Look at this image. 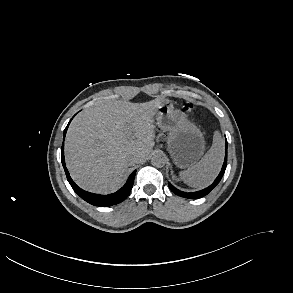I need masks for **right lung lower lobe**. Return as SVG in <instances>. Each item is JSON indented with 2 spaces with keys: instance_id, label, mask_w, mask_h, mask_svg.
<instances>
[{
  "instance_id": "right-lung-lower-lobe-1",
  "label": "right lung lower lobe",
  "mask_w": 293,
  "mask_h": 293,
  "mask_svg": "<svg viewBox=\"0 0 293 293\" xmlns=\"http://www.w3.org/2000/svg\"><path fill=\"white\" fill-rule=\"evenodd\" d=\"M70 123V122H69ZM69 123L67 125V127L64 130V138L67 132V128L69 126ZM61 161L67 176V180L69 182V184L71 185V187L73 188V190L86 202L95 205V206H100V207H106V206H111V205H115L118 204L122 201H124L126 199V197L129 195L132 187H133V183H134V178H135V173L136 170H134L131 175L129 176L127 182L125 183V185L119 189L117 192L112 193V194H108V195H100V194H94V193H90L87 191H84L83 189L79 188L72 180V178L70 177L68 170L66 168L65 165V161H64V154H63V145H62V150H61Z\"/></svg>"
}]
</instances>
